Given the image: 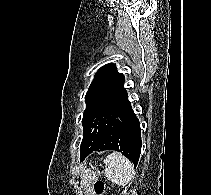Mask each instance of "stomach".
Returning <instances> with one entry per match:
<instances>
[{
	"mask_svg": "<svg viewBox=\"0 0 211 195\" xmlns=\"http://www.w3.org/2000/svg\"><path fill=\"white\" fill-rule=\"evenodd\" d=\"M98 179L96 172L87 170L83 175V183L89 188L93 182Z\"/></svg>",
	"mask_w": 211,
	"mask_h": 195,
	"instance_id": "stomach-1",
	"label": "stomach"
}]
</instances>
